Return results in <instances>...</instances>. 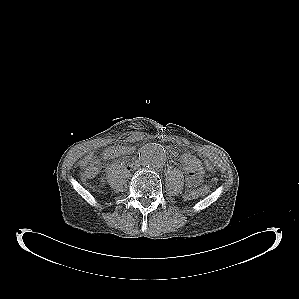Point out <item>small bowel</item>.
<instances>
[{
  "label": "small bowel",
  "instance_id": "1",
  "mask_svg": "<svg viewBox=\"0 0 299 299\" xmlns=\"http://www.w3.org/2000/svg\"><path fill=\"white\" fill-rule=\"evenodd\" d=\"M133 150L134 149L132 147H127V146H121V145L111 146L105 150L104 157L107 159H113L122 155L129 154ZM185 173H186V183L189 187L197 186L200 183L203 176V172L196 173L188 169H185Z\"/></svg>",
  "mask_w": 299,
  "mask_h": 299
}]
</instances>
